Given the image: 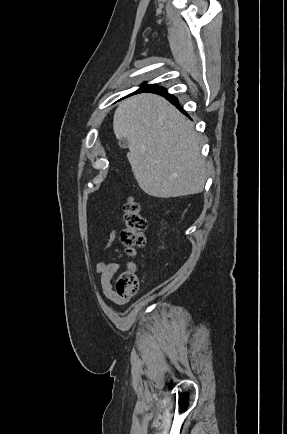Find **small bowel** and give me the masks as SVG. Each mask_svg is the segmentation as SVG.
<instances>
[{
    "label": "small bowel",
    "instance_id": "obj_1",
    "mask_svg": "<svg viewBox=\"0 0 287 434\" xmlns=\"http://www.w3.org/2000/svg\"><path fill=\"white\" fill-rule=\"evenodd\" d=\"M116 238V231L112 230L109 233L107 242L105 244V249H108ZM122 264L118 261L111 262H99L96 266L97 274L99 276V282L103 293L105 296L116 304H124L127 302V299L121 298L117 296L113 290L112 279L113 276L120 270ZM129 269H132L133 266L131 264H127Z\"/></svg>",
    "mask_w": 287,
    "mask_h": 434
}]
</instances>
